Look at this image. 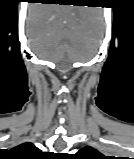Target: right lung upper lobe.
Listing matches in <instances>:
<instances>
[{
  "mask_svg": "<svg viewBox=\"0 0 134 159\" xmlns=\"http://www.w3.org/2000/svg\"><path fill=\"white\" fill-rule=\"evenodd\" d=\"M15 151L21 153L23 159H32V157L39 151V149L32 143H23L14 148Z\"/></svg>",
  "mask_w": 134,
  "mask_h": 159,
  "instance_id": "obj_1",
  "label": "right lung upper lobe"
}]
</instances>
